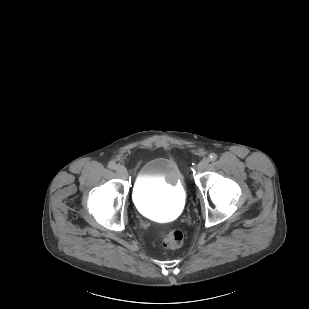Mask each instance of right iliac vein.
Returning <instances> with one entry per match:
<instances>
[{"label":"right iliac vein","mask_w":309,"mask_h":309,"mask_svg":"<svg viewBox=\"0 0 309 309\" xmlns=\"http://www.w3.org/2000/svg\"><path fill=\"white\" fill-rule=\"evenodd\" d=\"M116 172H117L118 176L123 178V179H126L127 176H128L126 168L122 165L117 166Z\"/></svg>","instance_id":"right-iliac-vein-1"}]
</instances>
